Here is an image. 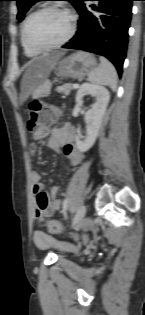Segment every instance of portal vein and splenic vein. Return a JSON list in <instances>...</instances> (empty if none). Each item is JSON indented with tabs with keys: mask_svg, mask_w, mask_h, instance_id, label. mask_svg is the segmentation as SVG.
Returning <instances> with one entry per match:
<instances>
[{
	"mask_svg": "<svg viewBox=\"0 0 145 315\" xmlns=\"http://www.w3.org/2000/svg\"><path fill=\"white\" fill-rule=\"evenodd\" d=\"M79 85L78 84H73L72 88H78Z\"/></svg>",
	"mask_w": 145,
	"mask_h": 315,
	"instance_id": "obj_1",
	"label": "portal vein and splenic vein"
}]
</instances>
